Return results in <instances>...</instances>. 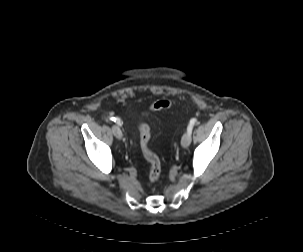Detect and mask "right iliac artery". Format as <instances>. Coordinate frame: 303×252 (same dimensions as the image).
Here are the masks:
<instances>
[{"label":"right iliac artery","mask_w":303,"mask_h":252,"mask_svg":"<svg viewBox=\"0 0 303 252\" xmlns=\"http://www.w3.org/2000/svg\"><path fill=\"white\" fill-rule=\"evenodd\" d=\"M110 120H113L114 122H116L118 125H122V122L120 121V119L119 118H117V117H110Z\"/></svg>","instance_id":"right-iliac-artery-1"}]
</instances>
